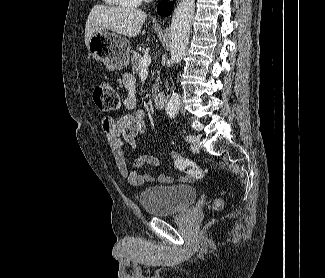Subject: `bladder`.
Segmentation results:
<instances>
[{"instance_id": "obj_1", "label": "bladder", "mask_w": 325, "mask_h": 278, "mask_svg": "<svg viewBox=\"0 0 325 278\" xmlns=\"http://www.w3.org/2000/svg\"><path fill=\"white\" fill-rule=\"evenodd\" d=\"M197 196L198 192L192 185L172 184L144 189L139 194V201L149 216L164 217L186 210Z\"/></svg>"}]
</instances>
